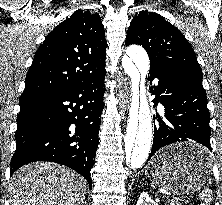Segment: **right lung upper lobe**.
<instances>
[{"instance_id":"cb5924a9","label":"right lung upper lobe","mask_w":222,"mask_h":205,"mask_svg":"<svg viewBox=\"0 0 222 205\" xmlns=\"http://www.w3.org/2000/svg\"><path fill=\"white\" fill-rule=\"evenodd\" d=\"M106 47L99 14L75 11L38 48L22 94L69 88L106 72Z\"/></svg>"}]
</instances>
